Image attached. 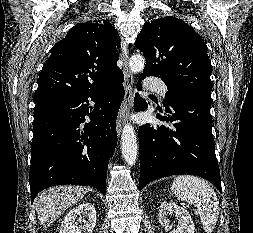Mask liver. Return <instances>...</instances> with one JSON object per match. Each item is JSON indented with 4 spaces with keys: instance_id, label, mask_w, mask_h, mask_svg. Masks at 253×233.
<instances>
[{
    "instance_id": "obj_1",
    "label": "liver",
    "mask_w": 253,
    "mask_h": 233,
    "mask_svg": "<svg viewBox=\"0 0 253 233\" xmlns=\"http://www.w3.org/2000/svg\"><path fill=\"white\" fill-rule=\"evenodd\" d=\"M86 194L79 186H58L41 192L35 199V208L39 222L50 227L53 222L72 204Z\"/></svg>"
}]
</instances>
